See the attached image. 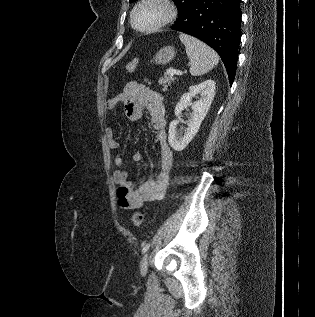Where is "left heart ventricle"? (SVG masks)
<instances>
[{"label":"left heart ventricle","instance_id":"b2bd125f","mask_svg":"<svg viewBox=\"0 0 315 317\" xmlns=\"http://www.w3.org/2000/svg\"><path fill=\"white\" fill-rule=\"evenodd\" d=\"M163 15V9L156 4L142 6L135 15V23L138 27H148L156 23Z\"/></svg>","mask_w":315,"mask_h":317}]
</instances>
